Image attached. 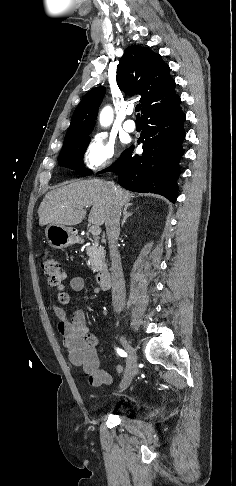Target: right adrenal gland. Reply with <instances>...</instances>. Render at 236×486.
<instances>
[{
    "instance_id": "1",
    "label": "right adrenal gland",
    "mask_w": 236,
    "mask_h": 486,
    "mask_svg": "<svg viewBox=\"0 0 236 486\" xmlns=\"http://www.w3.org/2000/svg\"><path fill=\"white\" fill-rule=\"evenodd\" d=\"M128 207L129 206H125L124 209H123V220H122V223H121V227H123V225L125 224L126 220L132 216V213L128 212Z\"/></svg>"
}]
</instances>
